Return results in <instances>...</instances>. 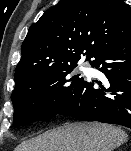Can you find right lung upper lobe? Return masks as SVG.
Listing matches in <instances>:
<instances>
[{
	"instance_id": "cb5924a9",
	"label": "right lung upper lobe",
	"mask_w": 131,
	"mask_h": 151,
	"mask_svg": "<svg viewBox=\"0 0 131 151\" xmlns=\"http://www.w3.org/2000/svg\"><path fill=\"white\" fill-rule=\"evenodd\" d=\"M131 33V12L122 0H61L30 26L15 70V88L76 64Z\"/></svg>"
}]
</instances>
